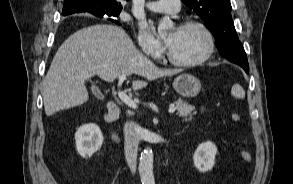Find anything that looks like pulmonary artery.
<instances>
[{"mask_svg": "<svg viewBox=\"0 0 293 184\" xmlns=\"http://www.w3.org/2000/svg\"><path fill=\"white\" fill-rule=\"evenodd\" d=\"M146 7L154 12L177 13L180 10V0H157L148 2Z\"/></svg>", "mask_w": 293, "mask_h": 184, "instance_id": "pulmonary-artery-1", "label": "pulmonary artery"}]
</instances>
